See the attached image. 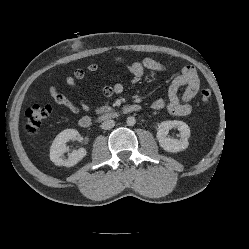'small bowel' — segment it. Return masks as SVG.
Masks as SVG:
<instances>
[{
    "label": "small bowel",
    "mask_w": 249,
    "mask_h": 249,
    "mask_svg": "<svg viewBox=\"0 0 249 249\" xmlns=\"http://www.w3.org/2000/svg\"><path fill=\"white\" fill-rule=\"evenodd\" d=\"M113 62L125 65L131 73V81L133 83L139 82L144 76L145 70H151L155 72H166L168 68L151 58H145L141 61L129 63L121 57L113 58ZM100 68L97 63H90L87 66L89 72H96ZM86 78V71L82 68L74 70L72 75L65 77V82L72 88H77V81L84 80ZM185 87L183 93L179 94V89ZM200 87V80L197 71L192 66H185L182 68L181 73L177 75L171 82L168 89V101L162 98L155 99L151 103L153 110L167 109L171 114L176 116H189L192 113V106L190 101L196 96ZM124 91V85L121 82H116L113 85L103 86L101 89L102 94L105 97H111L113 95L121 94ZM49 93L53 100L64 107H66L72 113L78 114L81 110L88 111L90 109L89 104L84 98H80L79 105L72 102L67 96L59 92L55 86H51Z\"/></svg>",
    "instance_id": "obj_1"
}]
</instances>
